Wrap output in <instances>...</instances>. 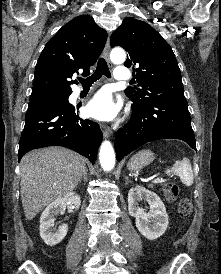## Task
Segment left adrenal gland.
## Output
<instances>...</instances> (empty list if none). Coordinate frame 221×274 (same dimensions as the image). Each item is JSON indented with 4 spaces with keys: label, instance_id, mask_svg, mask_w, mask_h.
I'll list each match as a JSON object with an SVG mask.
<instances>
[{
    "label": "left adrenal gland",
    "instance_id": "1",
    "mask_svg": "<svg viewBox=\"0 0 221 274\" xmlns=\"http://www.w3.org/2000/svg\"><path fill=\"white\" fill-rule=\"evenodd\" d=\"M126 185L130 182L128 177H125Z\"/></svg>",
    "mask_w": 221,
    "mask_h": 274
}]
</instances>
